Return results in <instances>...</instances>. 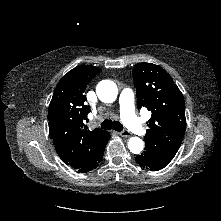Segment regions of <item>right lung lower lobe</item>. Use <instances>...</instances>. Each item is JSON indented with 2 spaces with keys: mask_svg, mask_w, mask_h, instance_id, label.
I'll list each match as a JSON object with an SVG mask.
<instances>
[{
  "mask_svg": "<svg viewBox=\"0 0 221 221\" xmlns=\"http://www.w3.org/2000/svg\"><path fill=\"white\" fill-rule=\"evenodd\" d=\"M109 139H110V133L107 132L103 142L99 145L93 158L88 163H86L82 168L78 169L79 172H83V173L88 172L98 166L99 162L103 158L104 150H105L106 144L108 143Z\"/></svg>",
  "mask_w": 221,
  "mask_h": 221,
  "instance_id": "obj_1",
  "label": "right lung lower lobe"
}]
</instances>
